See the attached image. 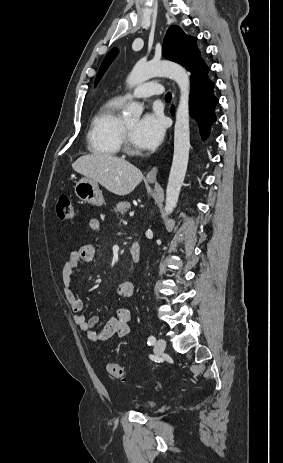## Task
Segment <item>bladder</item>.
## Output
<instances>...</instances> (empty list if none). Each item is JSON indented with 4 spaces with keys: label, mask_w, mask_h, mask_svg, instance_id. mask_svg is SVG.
Returning <instances> with one entry per match:
<instances>
[{
    "label": "bladder",
    "mask_w": 283,
    "mask_h": 463,
    "mask_svg": "<svg viewBox=\"0 0 283 463\" xmlns=\"http://www.w3.org/2000/svg\"><path fill=\"white\" fill-rule=\"evenodd\" d=\"M140 405H141L142 410L147 411L154 406V403L152 401L146 400V401L141 402Z\"/></svg>",
    "instance_id": "obj_1"
}]
</instances>
